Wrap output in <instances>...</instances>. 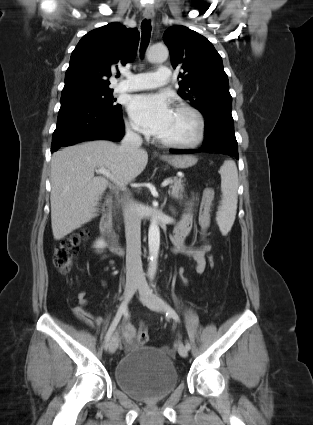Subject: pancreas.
Segmentation results:
<instances>
[{"mask_svg": "<svg viewBox=\"0 0 313 425\" xmlns=\"http://www.w3.org/2000/svg\"><path fill=\"white\" fill-rule=\"evenodd\" d=\"M170 180V190L169 194L175 198V199H183V192H184V184L183 180L181 178H169Z\"/></svg>", "mask_w": 313, "mask_h": 425, "instance_id": "pancreas-1", "label": "pancreas"}]
</instances>
